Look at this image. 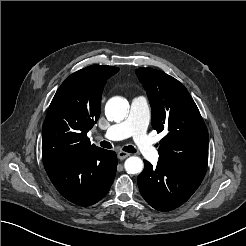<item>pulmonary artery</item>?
Instances as JSON below:
<instances>
[{
  "label": "pulmonary artery",
  "instance_id": "obj_1",
  "mask_svg": "<svg viewBox=\"0 0 246 246\" xmlns=\"http://www.w3.org/2000/svg\"><path fill=\"white\" fill-rule=\"evenodd\" d=\"M151 118V111L144 96L135 97L125 120L110 126L103 137L109 140H122L132 137L141 154L148 160L156 162L158 152L147 135V128Z\"/></svg>",
  "mask_w": 246,
  "mask_h": 246
}]
</instances>
